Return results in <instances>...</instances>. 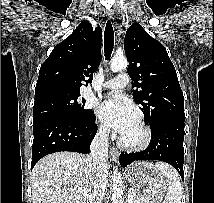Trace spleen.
<instances>
[{
	"mask_svg": "<svg viewBox=\"0 0 214 203\" xmlns=\"http://www.w3.org/2000/svg\"><path fill=\"white\" fill-rule=\"evenodd\" d=\"M155 166L166 176L168 182V191L164 203H181L182 189L176 170L161 162H157Z\"/></svg>",
	"mask_w": 214,
	"mask_h": 203,
	"instance_id": "3e777b00",
	"label": "spleen"
}]
</instances>
